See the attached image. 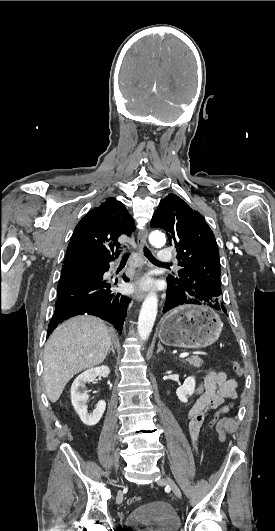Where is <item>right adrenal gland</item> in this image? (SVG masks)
<instances>
[{
    "label": "right adrenal gland",
    "instance_id": "obj_1",
    "mask_svg": "<svg viewBox=\"0 0 275 531\" xmlns=\"http://www.w3.org/2000/svg\"><path fill=\"white\" fill-rule=\"evenodd\" d=\"M111 351H112V353H115V351H114L113 341H112V343H111V347H110V349H109L107 355H110Z\"/></svg>",
    "mask_w": 275,
    "mask_h": 531
}]
</instances>
